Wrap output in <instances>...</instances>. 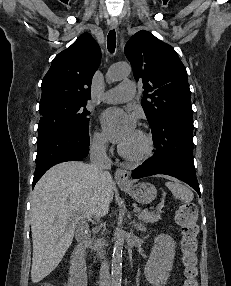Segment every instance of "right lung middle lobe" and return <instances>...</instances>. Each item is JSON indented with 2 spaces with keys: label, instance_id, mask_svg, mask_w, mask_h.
Instances as JSON below:
<instances>
[{
  "label": "right lung middle lobe",
  "instance_id": "right-lung-middle-lobe-1",
  "mask_svg": "<svg viewBox=\"0 0 231 286\" xmlns=\"http://www.w3.org/2000/svg\"><path fill=\"white\" fill-rule=\"evenodd\" d=\"M86 104L87 102L56 101L40 106L38 138L63 129L87 132L90 112L86 109Z\"/></svg>",
  "mask_w": 231,
  "mask_h": 286
}]
</instances>
